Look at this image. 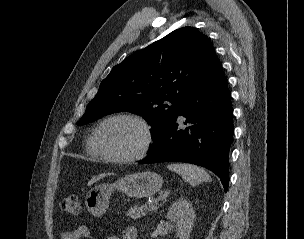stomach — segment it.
Instances as JSON below:
<instances>
[{"label": "stomach", "instance_id": "stomach-1", "mask_svg": "<svg viewBox=\"0 0 304 239\" xmlns=\"http://www.w3.org/2000/svg\"><path fill=\"white\" fill-rule=\"evenodd\" d=\"M162 178L155 172L145 171L126 175L113 183L100 184L86 195L87 210L94 216L103 215L109 204V198L115 190L129 197L144 198L153 196L162 187Z\"/></svg>", "mask_w": 304, "mask_h": 239}]
</instances>
